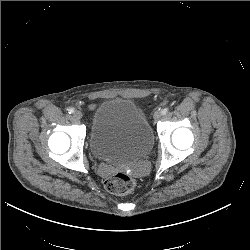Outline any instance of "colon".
Wrapping results in <instances>:
<instances>
[{
	"mask_svg": "<svg viewBox=\"0 0 250 250\" xmlns=\"http://www.w3.org/2000/svg\"><path fill=\"white\" fill-rule=\"evenodd\" d=\"M105 188L115 195H126L133 191L135 187L134 178L127 173H116L105 180Z\"/></svg>",
	"mask_w": 250,
	"mask_h": 250,
	"instance_id": "1",
	"label": "colon"
}]
</instances>
